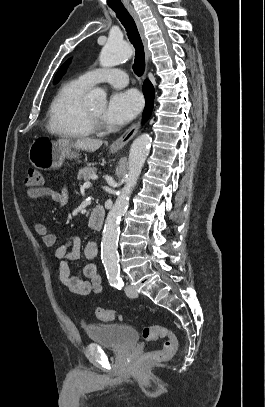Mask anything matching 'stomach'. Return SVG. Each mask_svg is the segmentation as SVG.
I'll return each mask as SVG.
<instances>
[{
    "instance_id": "1",
    "label": "stomach",
    "mask_w": 265,
    "mask_h": 407,
    "mask_svg": "<svg viewBox=\"0 0 265 407\" xmlns=\"http://www.w3.org/2000/svg\"><path fill=\"white\" fill-rule=\"evenodd\" d=\"M79 153L72 147L60 145L49 139L35 140L28 152L31 164L41 170L58 169L66 158H78Z\"/></svg>"
}]
</instances>
